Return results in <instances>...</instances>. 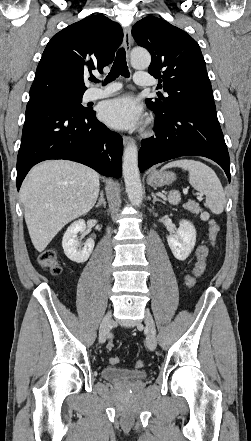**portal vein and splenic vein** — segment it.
<instances>
[{
	"label": "portal vein and splenic vein",
	"instance_id": "1",
	"mask_svg": "<svg viewBox=\"0 0 251 441\" xmlns=\"http://www.w3.org/2000/svg\"><path fill=\"white\" fill-rule=\"evenodd\" d=\"M188 193V190L187 189H184V194H187Z\"/></svg>",
	"mask_w": 251,
	"mask_h": 441
}]
</instances>
